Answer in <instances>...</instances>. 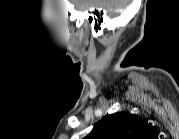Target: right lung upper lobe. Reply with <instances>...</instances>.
Returning <instances> with one entry per match:
<instances>
[{"label": "right lung upper lobe", "instance_id": "obj_1", "mask_svg": "<svg viewBox=\"0 0 179 139\" xmlns=\"http://www.w3.org/2000/svg\"><path fill=\"white\" fill-rule=\"evenodd\" d=\"M153 135L148 122L128 112L107 115L86 136V139H148Z\"/></svg>", "mask_w": 179, "mask_h": 139}]
</instances>
